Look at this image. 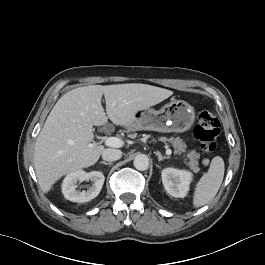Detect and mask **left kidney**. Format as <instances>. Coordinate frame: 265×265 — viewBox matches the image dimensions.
I'll use <instances>...</instances> for the list:
<instances>
[{
    "label": "left kidney",
    "instance_id": "left-kidney-1",
    "mask_svg": "<svg viewBox=\"0 0 265 265\" xmlns=\"http://www.w3.org/2000/svg\"><path fill=\"white\" fill-rule=\"evenodd\" d=\"M162 183L165 190L173 197L183 198L189 191L192 174L186 170L165 168L162 170Z\"/></svg>",
    "mask_w": 265,
    "mask_h": 265
}]
</instances>
